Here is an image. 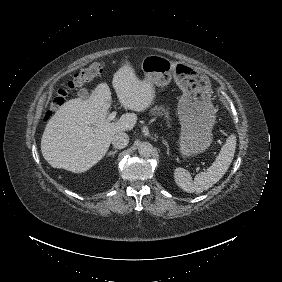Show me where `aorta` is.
Returning <instances> with one entry per match:
<instances>
[{
    "label": "aorta",
    "mask_w": 282,
    "mask_h": 282,
    "mask_svg": "<svg viewBox=\"0 0 282 282\" xmlns=\"http://www.w3.org/2000/svg\"><path fill=\"white\" fill-rule=\"evenodd\" d=\"M154 149L151 143L149 142H141L140 145L138 146V153L142 157H149L153 153Z\"/></svg>",
    "instance_id": "obj_1"
}]
</instances>
